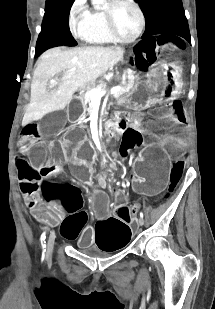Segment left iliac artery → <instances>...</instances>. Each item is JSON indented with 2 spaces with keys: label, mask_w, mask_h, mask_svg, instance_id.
I'll return each instance as SVG.
<instances>
[{
  "label": "left iliac artery",
  "mask_w": 215,
  "mask_h": 309,
  "mask_svg": "<svg viewBox=\"0 0 215 309\" xmlns=\"http://www.w3.org/2000/svg\"><path fill=\"white\" fill-rule=\"evenodd\" d=\"M140 217H142V218H143V213H142V212L140 213Z\"/></svg>",
  "instance_id": "left-iliac-artery-1"
}]
</instances>
